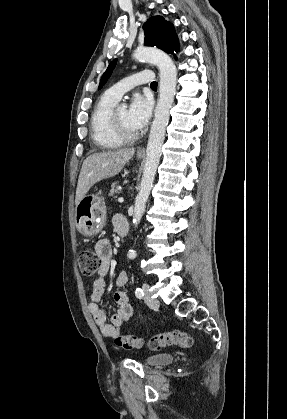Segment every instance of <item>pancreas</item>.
Returning a JSON list of instances; mask_svg holds the SVG:
<instances>
[{
    "label": "pancreas",
    "mask_w": 287,
    "mask_h": 419,
    "mask_svg": "<svg viewBox=\"0 0 287 419\" xmlns=\"http://www.w3.org/2000/svg\"><path fill=\"white\" fill-rule=\"evenodd\" d=\"M118 190H119V184H118V182H114L111 185V190H110L109 196L114 198V194L117 193Z\"/></svg>",
    "instance_id": "1"
}]
</instances>
